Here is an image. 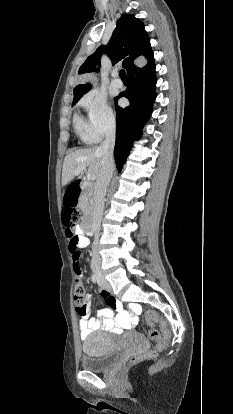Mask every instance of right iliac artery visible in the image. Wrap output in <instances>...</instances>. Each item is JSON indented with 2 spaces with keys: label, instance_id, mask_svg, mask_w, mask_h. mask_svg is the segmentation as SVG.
<instances>
[{
  "label": "right iliac artery",
  "instance_id": "82829eb1",
  "mask_svg": "<svg viewBox=\"0 0 233 414\" xmlns=\"http://www.w3.org/2000/svg\"><path fill=\"white\" fill-rule=\"evenodd\" d=\"M91 280H92L93 283H98V281H99L98 276L96 274H92Z\"/></svg>",
  "mask_w": 233,
  "mask_h": 414
}]
</instances>
